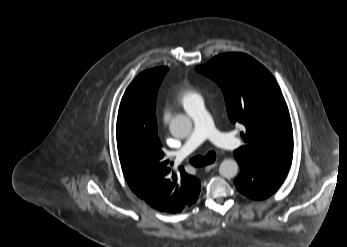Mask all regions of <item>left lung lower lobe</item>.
Wrapping results in <instances>:
<instances>
[{"mask_svg": "<svg viewBox=\"0 0 347 247\" xmlns=\"http://www.w3.org/2000/svg\"><path fill=\"white\" fill-rule=\"evenodd\" d=\"M241 172L234 180L236 188L245 196L262 200L277 191L290 166L283 164H260L244 157H235Z\"/></svg>", "mask_w": 347, "mask_h": 247, "instance_id": "0a47b994", "label": "left lung lower lobe"}]
</instances>
